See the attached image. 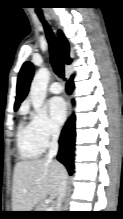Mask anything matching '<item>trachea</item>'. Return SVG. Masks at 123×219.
<instances>
[{"mask_svg":"<svg viewBox=\"0 0 123 219\" xmlns=\"http://www.w3.org/2000/svg\"><path fill=\"white\" fill-rule=\"evenodd\" d=\"M38 17L40 18L41 22L44 25V29L46 32V36L49 42V46H50V59H51V64L53 67V70L55 72V74L60 77L63 78L64 77V64L57 46V42L55 39V36L50 28V26L47 24V22L44 20L43 14L41 11L37 12Z\"/></svg>","mask_w":123,"mask_h":219,"instance_id":"1","label":"trachea"}]
</instances>
